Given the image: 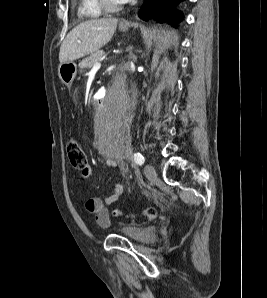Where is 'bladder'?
<instances>
[{"mask_svg": "<svg viewBox=\"0 0 267 298\" xmlns=\"http://www.w3.org/2000/svg\"><path fill=\"white\" fill-rule=\"evenodd\" d=\"M123 235L141 244H151L157 239L156 230L150 226L127 227L123 230Z\"/></svg>", "mask_w": 267, "mask_h": 298, "instance_id": "1", "label": "bladder"}]
</instances>
